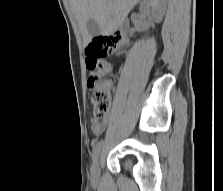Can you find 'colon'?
<instances>
[{
    "label": "colon",
    "instance_id": "colon-1",
    "mask_svg": "<svg viewBox=\"0 0 223 191\" xmlns=\"http://www.w3.org/2000/svg\"><path fill=\"white\" fill-rule=\"evenodd\" d=\"M125 43L121 35L92 40L86 47V67L92 71L88 79V87L92 93L94 114L97 118H104L110 108V96L107 90L106 78L111 74L110 65L103 61L107 55L117 51Z\"/></svg>",
    "mask_w": 223,
    "mask_h": 191
}]
</instances>
